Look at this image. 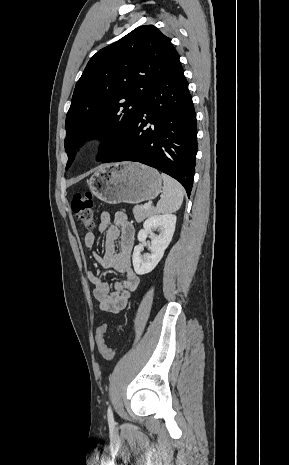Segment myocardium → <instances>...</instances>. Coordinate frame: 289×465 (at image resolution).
Returning <instances> with one entry per match:
<instances>
[{
	"instance_id": "myocardium-1",
	"label": "myocardium",
	"mask_w": 289,
	"mask_h": 465,
	"mask_svg": "<svg viewBox=\"0 0 289 465\" xmlns=\"http://www.w3.org/2000/svg\"><path fill=\"white\" fill-rule=\"evenodd\" d=\"M110 141V135L104 130H95L87 138L86 145L95 150L104 147Z\"/></svg>"
}]
</instances>
